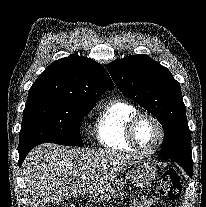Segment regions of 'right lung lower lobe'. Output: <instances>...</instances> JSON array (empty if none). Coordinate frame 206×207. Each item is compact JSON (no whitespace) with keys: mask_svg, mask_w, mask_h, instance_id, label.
I'll list each match as a JSON object with an SVG mask.
<instances>
[{"mask_svg":"<svg viewBox=\"0 0 206 207\" xmlns=\"http://www.w3.org/2000/svg\"><path fill=\"white\" fill-rule=\"evenodd\" d=\"M30 150L19 152V166H21L23 160L25 159L26 155L29 153Z\"/></svg>","mask_w":206,"mask_h":207,"instance_id":"right-lung-lower-lobe-1","label":"right lung lower lobe"}]
</instances>
